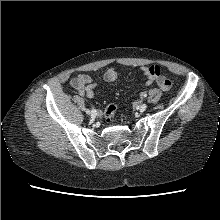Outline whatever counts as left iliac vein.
<instances>
[{
    "mask_svg": "<svg viewBox=\"0 0 220 220\" xmlns=\"http://www.w3.org/2000/svg\"><path fill=\"white\" fill-rule=\"evenodd\" d=\"M146 109H147V105H146V104H141V105L139 106V110H140L141 112H144Z\"/></svg>",
    "mask_w": 220,
    "mask_h": 220,
    "instance_id": "4c4485c4",
    "label": "left iliac vein"
}]
</instances>
